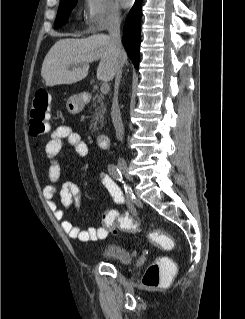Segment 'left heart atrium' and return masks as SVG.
Listing matches in <instances>:
<instances>
[{
    "label": "left heart atrium",
    "instance_id": "39dd6f15",
    "mask_svg": "<svg viewBox=\"0 0 245 319\" xmlns=\"http://www.w3.org/2000/svg\"><path fill=\"white\" fill-rule=\"evenodd\" d=\"M118 2L122 7H128L132 3V0H118Z\"/></svg>",
    "mask_w": 245,
    "mask_h": 319
}]
</instances>
